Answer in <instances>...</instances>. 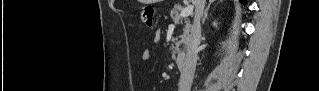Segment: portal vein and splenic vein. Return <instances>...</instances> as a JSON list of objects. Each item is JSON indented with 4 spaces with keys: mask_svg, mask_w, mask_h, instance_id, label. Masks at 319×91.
I'll list each match as a JSON object with an SVG mask.
<instances>
[{
    "mask_svg": "<svg viewBox=\"0 0 319 91\" xmlns=\"http://www.w3.org/2000/svg\"><path fill=\"white\" fill-rule=\"evenodd\" d=\"M192 13H193V6L189 5L181 10L180 17H183V18L189 17L190 15H192Z\"/></svg>",
    "mask_w": 319,
    "mask_h": 91,
    "instance_id": "portal-vein-and-splenic-vein-1",
    "label": "portal vein and splenic vein"
}]
</instances>
